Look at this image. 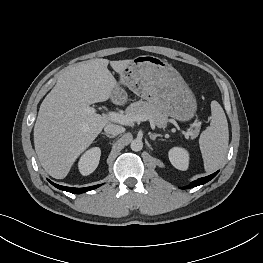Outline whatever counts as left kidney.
I'll return each instance as SVG.
<instances>
[{
    "label": "left kidney",
    "mask_w": 263,
    "mask_h": 263,
    "mask_svg": "<svg viewBox=\"0 0 263 263\" xmlns=\"http://www.w3.org/2000/svg\"><path fill=\"white\" fill-rule=\"evenodd\" d=\"M169 160L171 164L179 170L185 171L189 166V153L186 149L182 147H174L170 149Z\"/></svg>",
    "instance_id": "obj_1"
}]
</instances>
